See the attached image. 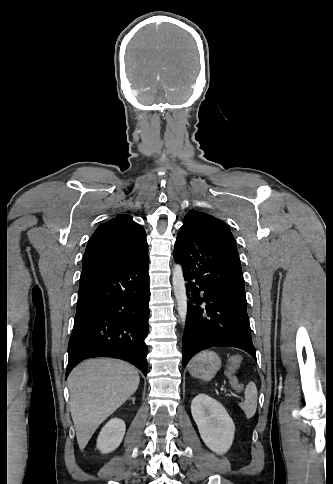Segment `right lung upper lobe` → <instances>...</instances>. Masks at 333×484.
Instances as JSON below:
<instances>
[{"label":"right lung upper lobe","instance_id":"cb5924a9","mask_svg":"<svg viewBox=\"0 0 333 484\" xmlns=\"http://www.w3.org/2000/svg\"><path fill=\"white\" fill-rule=\"evenodd\" d=\"M148 252L146 233L129 215H118L100 225L83 256V267L125 263Z\"/></svg>","mask_w":333,"mask_h":484}]
</instances>
